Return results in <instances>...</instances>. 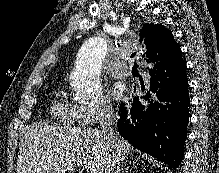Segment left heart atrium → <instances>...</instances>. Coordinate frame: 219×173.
I'll return each instance as SVG.
<instances>
[{
  "label": "left heart atrium",
  "mask_w": 219,
  "mask_h": 173,
  "mask_svg": "<svg viewBox=\"0 0 219 173\" xmlns=\"http://www.w3.org/2000/svg\"><path fill=\"white\" fill-rule=\"evenodd\" d=\"M113 94L116 99H120L123 96V89L120 86H116Z\"/></svg>",
  "instance_id": "left-heart-atrium-1"
}]
</instances>
